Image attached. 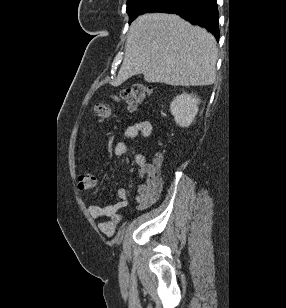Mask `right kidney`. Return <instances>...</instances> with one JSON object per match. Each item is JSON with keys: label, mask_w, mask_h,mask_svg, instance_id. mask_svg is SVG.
Instances as JSON below:
<instances>
[{"label": "right kidney", "mask_w": 286, "mask_h": 308, "mask_svg": "<svg viewBox=\"0 0 286 308\" xmlns=\"http://www.w3.org/2000/svg\"><path fill=\"white\" fill-rule=\"evenodd\" d=\"M199 103L200 99L192 94L183 93L176 96L170 104V112L176 124L181 127L190 126L198 113Z\"/></svg>", "instance_id": "1"}]
</instances>
